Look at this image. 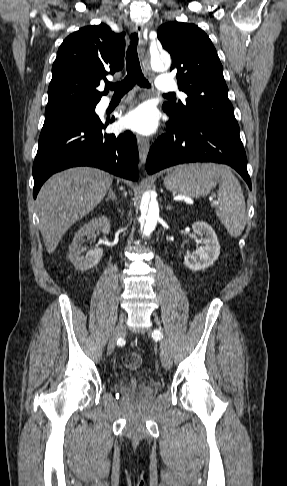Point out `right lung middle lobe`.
I'll use <instances>...</instances> for the list:
<instances>
[{"mask_svg":"<svg viewBox=\"0 0 287 486\" xmlns=\"http://www.w3.org/2000/svg\"><path fill=\"white\" fill-rule=\"evenodd\" d=\"M98 102H82L70 105L46 108L43 127H51L64 122L79 121L95 114Z\"/></svg>","mask_w":287,"mask_h":486,"instance_id":"dd1d6c3e","label":"right lung middle lobe"}]
</instances>
